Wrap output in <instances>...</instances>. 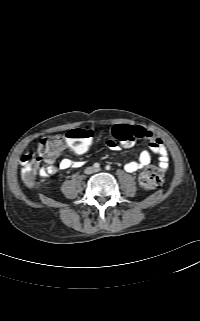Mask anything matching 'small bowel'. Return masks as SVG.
I'll use <instances>...</instances> for the list:
<instances>
[{"instance_id": "c3829d8e", "label": "small bowel", "mask_w": 200, "mask_h": 321, "mask_svg": "<svg viewBox=\"0 0 200 321\" xmlns=\"http://www.w3.org/2000/svg\"><path fill=\"white\" fill-rule=\"evenodd\" d=\"M139 133L140 138H144L149 143V149L143 150L137 160L129 161L125 164L124 168L129 173H134L143 167L147 166L151 162L152 154H156L159 156V166L161 169H167L169 165V157L167 153V149L161 139H159L153 132L147 130L141 126L135 127ZM107 146L109 149L113 151L119 150V146L113 140L107 141ZM64 149V148H63ZM62 149V150H63ZM61 150V151H62ZM61 151L53 158L49 159L47 162V166L40 170V175L42 177H49L57 173L58 170H66L72 168L76 165V162L72 161L69 158H63L60 160L58 165L55 164L56 159L60 155ZM77 153V152H76Z\"/></svg>"}]
</instances>
